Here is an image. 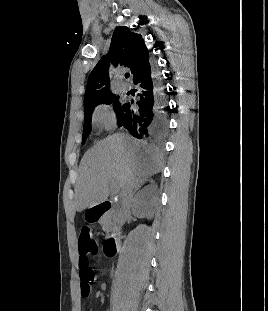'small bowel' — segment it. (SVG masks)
<instances>
[{"label": "small bowel", "instance_id": "small-bowel-1", "mask_svg": "<svg viewBox=\"0 0 268 311\" xmlns=\"http://www.w3.org/2000/svg\"><path fill=\"white\" fill-rule=\"evenodd\" d=\"M101 287H102V289L104 290V289L106 288V285H105V284H102ZM80 294H81L82 297H85L84 295H82L81 288H80ZM101 295H102L101 292H98V293L96 294V297H97V298H100Z\"/></svg>", "mask_w": 268, "mask_h": 311}]
</instances>
